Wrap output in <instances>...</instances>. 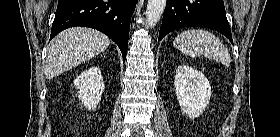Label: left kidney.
Segmentation results:
<instances>
[{"label": "left kidney", "mask_w": 280, "mask_h": 137, "mask_svg": "<svg viewBox=\"0 0 280 137\" xmlns=\"http://www.w3.org/2000/svg\"><path fill=\"white\" fill-rule=\"evenodd\" d=\"M174 84L181 111L189 118L199 117L211 97V86L207 78L189 65H180L176 69Z\"/></svg>", "instance_id": "1"}]
</instances>
